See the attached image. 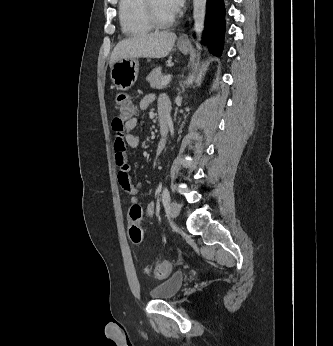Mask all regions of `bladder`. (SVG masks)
Here are the masks:
<instances>
[{
  "label": "bladder",
  "mask_w": 333,
  "mask_h": 346,
  "mask_svg": "<svg viewBox=\"0 0 333 346\" xmlns=\"http://www.w3.org/2000/svg\"><path fill=\"white\" fill-rule=\"evenodd\" d=\"M184 280L185 275L183 272H175L152 288L150 295L155 300L171 299L178 293L184 283Z\"/></svg>",
  "instance_id": "1"
}]
</instances>
